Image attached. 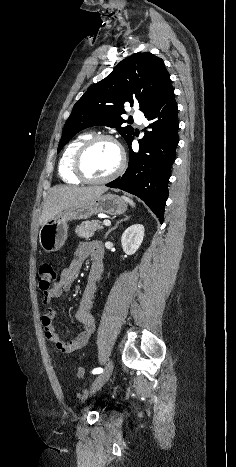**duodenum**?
Masks as SVG:
<instances>
[{
    "label": "duodenum",
    "mask_w": 236,
    "mask_h": 467,
    "mask_svg": "<svg viewBox=\"0 0 236 467\" xmlns=\"http://www.w3.org/2000/svg\"><path fill=\"white\" fill-rule=\"evenodd\" d=\"M91 278H92V280H94L96 278V273L95 272H92Z\"/></svg>",
    "instance_id": "410a0bca"
}]
</instances>
